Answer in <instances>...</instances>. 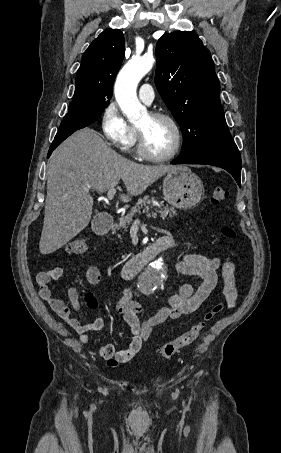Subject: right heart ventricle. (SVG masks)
Returning <instances> with one entry per match:
<instances>
[{
  "mask_svg": "<svg viewBox=\"0 0 281 453\" xmlns=\"http://www.w3.org/2000/svg\"><path fill=\"white\" fill-rule=\"evenodd\" d=\"M136 142H137V128L134 126H130L129 134L122 144V149L123 150L131 149L132 147L135 146Z\"/></svg>",
  "mask_w": 281,
  "mask_h": 453,
  "instance_id": "1",
  "label": "right heart ventricle"
}]
</instances>
